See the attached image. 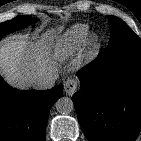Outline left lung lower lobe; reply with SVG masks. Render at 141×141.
<instances>
[{
    "label": "left lung lower lobe",
    "mask_w": 141,
    "mask_h": 141,
    "mask_svg": "<svg viewBox=\"0 0 141 141\" xmlns=\"http://www.w3.org/2000/svg\"><path fill=\"white\" fill-rule=\"evenodd\" d=\"M73 95L89 141H133L141 130V48L106 49L79 71Z\"/></svg>",
    "instance_id": "1"
}]
</instances>
